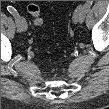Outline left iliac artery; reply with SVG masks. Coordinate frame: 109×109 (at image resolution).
<instances>
[{"label":"left iliac artery","mask_w":109,"mask_h":109,"mask_svg":"<svg viewBox=\"0 0 109 109\" xmlns=\"http://www.w3.org/2000/svg\"><path fill=\"white\" fill-rule=\"evenodd\" d=\"M91 6V3L90 2H86L84 5H83V14H82V21L84 20V17H85V14L87 13V11L89 10Z\"/></svg>","instance_id":"44dca946"}]
</instances>
